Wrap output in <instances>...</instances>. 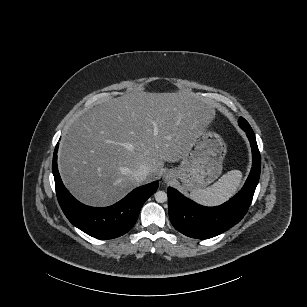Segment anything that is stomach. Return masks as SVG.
Masks as SVG:
<instances>
[{"label":"stomach","mask_w":307,"mask_h":307,"mask_svg":"<svg viewBox=\"0 0 307 307\" xmlns=\"http://www.w3.org/2000/svg\"><path fill=\"white\" fill-rule=\"evenodd\" d=\"M227 152V143L218 132L201 131L175 168V179L191 192L210 186L221 176Z\"/></svg>","instance_id":"0dacf381"}]
</instances>
